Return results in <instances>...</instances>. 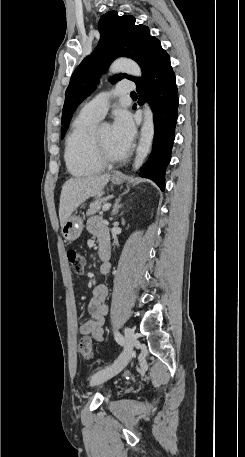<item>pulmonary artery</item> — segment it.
<instances>
[{
  "label": "pulmonary artery",
  "instance_id": "1",
  "mask_svg": "<svg viewBox=\"0 0 245 457\" xmlns=\"http://www.w3.org/2000/svg\"><path fill=\"white\" fill-rule=\"evenodd\" d=\"M137 87V80H117L115 88L109 87L106 90L107 93H98L97 100L85 103L80 110V115L99 120L106 114L111 99L118 95H132L133 89Z\"/></svg>",
  "mask_w": 245,
  "mask_h": 457
}]
</instances>
